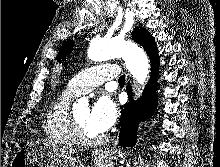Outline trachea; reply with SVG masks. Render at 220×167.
<instances>
[{
  "instance_id": "trachea-1",
  "label": "trachea",
  "mask_w": 220,
  "mask_h": 167,
  "mask_svg": "<svg viewBox=\"0 0 220 167\" xmlns=\"http://www.w3.org/2000/svg\"><path fill=\"white\" fill-rule=\"evenodd\" d=\"M119 84H124L125 83V75H122L119 80H118Z\"/></svg>"
}]
</instances>
